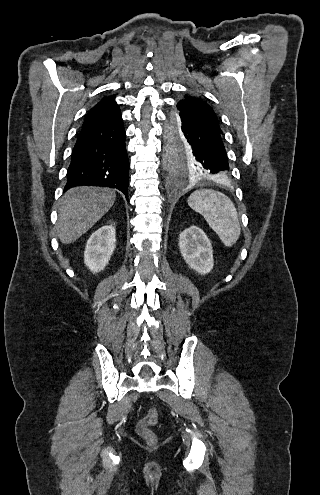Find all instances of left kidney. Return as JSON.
<instances>
[{
    "label": "left kidney",
    "mask_w": 320,
    "mask_h": 495,
    "mask_svg": "<svg viewBox=\"0 0 320 495\" xmlns=\"http://www.w3.org/2000/svg\"><path fill=\"white\" fill-rule=\"evenodd\" d=\"M179 248L185 262L196 272L205 275L213 269L212 245L198 227L191 226L180 233Z\"/></svg>",
    "instance_id": "obj_1"
}]
</instances>
